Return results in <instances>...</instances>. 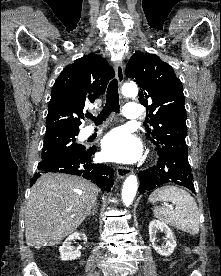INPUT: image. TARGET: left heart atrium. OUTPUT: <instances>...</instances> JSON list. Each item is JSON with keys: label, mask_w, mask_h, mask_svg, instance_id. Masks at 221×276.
Listing matches in <instances>:
<instances>
[{"label": "left heart atrium", "mask_w": 221, "mask_h": 276, "mask_svg": "<svg viewBox=\"0 0 221 276\" xmlns=\"http://www.w3.org/2000/svg\"><path fill=\"white\" fill-rule=\"evenodd\" d=\"M141 154L138 140L123 128H116L102 141V155L106 160L131 163Z\"/></svg>", "instance_id": "obj_1"}]
</instances>
